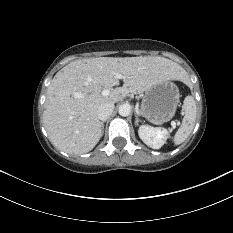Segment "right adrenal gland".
Returning <instances> with one entry per match:
<instances>
[{
  "instance_id": "2a0ac1e0",
  "label": "right adrenal gland",
  "mask_w": 233,
  "mask_h": 233,
  "mask_svg": "<svg viewBox=\"0 0 233 233\" xmlns=\"http://www.w3.org/2000/svg\"><path fill=\"white\" fill-rule=\"evenodd\" d=\"M106 121H102L101 122V129H102V133L104 132V123H105Z\"/></svg>"
}]
</instances>
